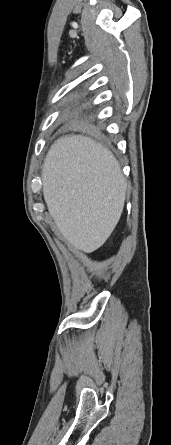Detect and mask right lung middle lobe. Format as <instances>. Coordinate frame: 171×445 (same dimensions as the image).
I'll use <instances>...</instances> for the list:
<instances>
[{
  "mask_svg": "<svg viewBox=\"0 0 171 445\" xmlns=\"http://www.w3.org/2000/svg\"><path fill=\"white\" fill-rule=\"evenodd\" d=\"M68 118H70V120H71V119H74V118H77L78 120L81 121V119H82L81 111H79V110L71 111V112L68 114ZM83 118H85V117H83Z\"/></svg>",
  "mask_w": 171,
  "mask_h": 445,
  "instance_id": "1",
  "label": "right lung middle lobe"
}]
</instances>
